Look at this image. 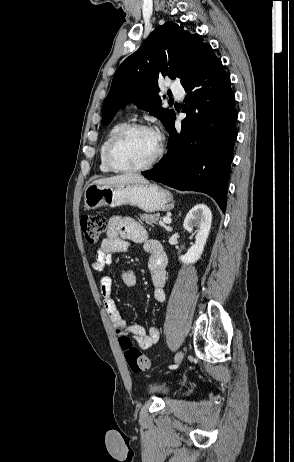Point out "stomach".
I'll return each instance as SVG.
<instances>
[{
    "label": "stomach",
    "instance_id": "obj_1",
    "mask_svg": "<svg viewBox=\"0 0 294 462\" xmlns=\"http://www.w3.org/2000/svg\"><path fill=\"white\" fill-rule=\"evenodd\" d=\"M84 203L90 210L129 204L148 213L169 211L174 207L171 193L151 183L90 184L84 193Z\"/></svg>",
    "mask_w": 294,
    "mask_h": 462
}]
</instances>
